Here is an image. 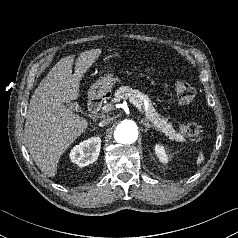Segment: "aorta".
I'll return each instance as SVG.
<instances>
[{
    "label": "aorta",
    "instance_id": "aorta-1",
    "mask_svg": "<svg viewBox=\"0 0 238 238\" xmlns=\"http://www.w3.org/2000/svg\"><path fill=\"white\" fill-rule=\"evenodd\" d=\"M117 142L122 144H132L138 138V126L133 120H123L114 132Z\"/></svg>",
    "mask_w": 238,
    "mask_h": 238
}]
</instances>
